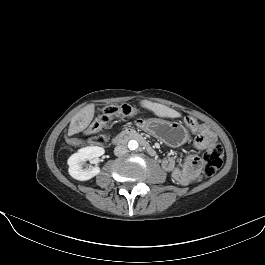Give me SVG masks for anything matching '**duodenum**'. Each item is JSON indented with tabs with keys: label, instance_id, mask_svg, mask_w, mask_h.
<instances>
[{
	"label": "duodenum",
	"instance_id": "duodenum-1",
	"mask_svg": "<svg viewBox=\"0 0 265 265\" xmlns=\"http://www.w3.org/2000/svg\"><path fill=\"white\" fill-rule=\"evenodd\" d=\"M130 139L139 141L140 144L143 146V148L149 155L155 156L154 148L144 139V137L139 132H136L133 130H127V131L122 132L120 135L114 138L113 144L120 145Z\"/></svg>",
	"mask_w": 265,
	"mask_h": 265
}]
</instances>
